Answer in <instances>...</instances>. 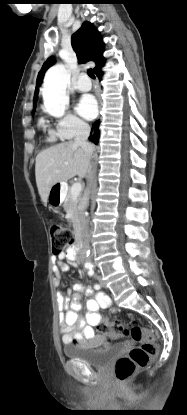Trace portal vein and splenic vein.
<instances>
[{"label": "portal vein and splenic vein", "mask_w": 187, "mask_h": 415, "mask_svg": "<svg viewBox=\"0 0 187 415\" xmlns=\"http://www.w3.org/2000/svg\"><path fill=\"white\" fill-rule=\"evenodd\" d=\"M82 190L81 183L76 182L71 187V194L74 198H77Z\"/></svg>", "instance_id": "obj_1"}]
</instances>
